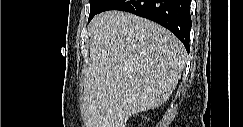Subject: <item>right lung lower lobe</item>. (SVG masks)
<instances>
[{
  "label": "right lung lower lobe",
  "instance_id": "98d812e1",
  "mask_svg": "<svg viewBox=\"0 0 243 127\" xmlns=\"http://www.w3.org/2000/svg\"><path fill=\"white\" fill-rule=\"evenodd\" d=\"M107 10H122L150 19L169 29L190 50V0H106L97 14Z\"/></svg>",
  "mask_w": 243,
  "mask_h": 127
}]
</instances>
